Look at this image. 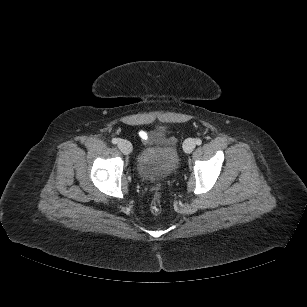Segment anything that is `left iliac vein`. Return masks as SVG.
<instances>
[{
    "mask_svg": "<svg viewBox=\"0 0 307 307\" xmlns=\"http://www.w3.org/2000/svg\"><path fill=\"white\" fill-rule=\"evenodd\" d=\"M196 146V142L193 138H188L184 141L183 149L186 153H191Z\"/></svg>",
    "mask_w": 307,
    "mask_h": 307,
    "instance_id": "left-iliac-vein-1",
    "label": "left iliac vein"
}]
</instances>
